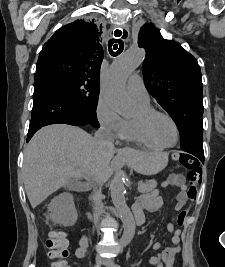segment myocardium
Wrapping results in <instances>:
<instances>
[{
	"instance_id": "obj_1",
	"label": "myocardium",
	"mask_w": 225,
	"mask_h": 267,
	"mask_svg": "<svg viewBox=\"0 0 225 267\" xmlns=\"http://www.w3.org/2000/svg\"><path fill=\"white\" fill-rule=\"evenodd\" d=\"M157 116H163V117L168 118L172 122V124L174 125L175 131H176V140L173 144L162 145L156 141V139L153 135V132H152V122H153L154 118H156ZM141 119H142V124H143V127H144L146 134L148 135L150 140L153 143H155L158 147H160L161 149H169V148L175 147L178 144V142L180 140L179 125H178L177 121L174 119V117L171 116L169 113L164 112V111H160V110H156V109H152V110L146 112L145 114H143Z\"/></svg>"
}]
</instances>
